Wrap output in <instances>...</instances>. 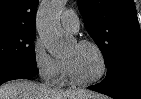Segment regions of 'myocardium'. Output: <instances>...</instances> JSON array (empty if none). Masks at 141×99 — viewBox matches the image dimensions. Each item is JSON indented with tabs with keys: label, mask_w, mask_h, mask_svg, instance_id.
Listing matches in <instances>:
<instances>
[{
	"label": "myocardium",
	"mask_w": 141,
	"mask_h": 99,
	"mask_svg": "<svg viewBox=\"0 0 141 99\" xmlns=\"http://www.w3.org/2000/svg\"><path fill=\"white\" fill-rule=\"evenodd\" d=\"M77 45L91 47L92 49H94L96 51V53L99 56L100 62H101V71L98 74V76H96L93 79L82 80L75 75L71 64L67 60H64L65 65H66V69H67V74H68L70 81L73 84H76L79 86H91V85H94V84L100 82L104 78V76L106 75V72H107V59H106V56H105L103 50L101 49V47L98 44H96L95 42L90 41V40H81L77 43Z\"/></svg>",
	"instance_id": "myocardium-1"
}]
</instances>
